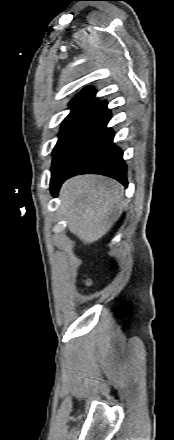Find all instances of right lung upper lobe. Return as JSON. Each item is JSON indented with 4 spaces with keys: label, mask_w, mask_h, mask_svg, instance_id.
<instances>
[{
    "label": "right lung upper lobe",
    "mask_w": 174,
    "mask_h": 440,
    "mask_svg": "<svg viewBox=\"0 0 174 440\" xmlns=\"http://www.w3.org/2000/svg\"><path fill=\"white\" fill-rule=\"evenodd\" d=\"M96 95V91L93 88H87L84 89L77 97H75L70 105L71 107H74L78 104L84 103L86 101H90L92 100L93 97H95Z\"/></svg>",
    "instance_id": "cb5924a9"
}]
</instances>
